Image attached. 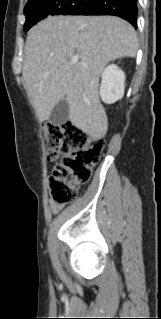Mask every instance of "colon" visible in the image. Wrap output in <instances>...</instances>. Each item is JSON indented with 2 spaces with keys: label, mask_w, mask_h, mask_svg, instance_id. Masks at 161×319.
Wrapping results in <instances>:
<instances>
[{
  "label": "colon",
  "mask_w": 161,
  "mask_h": 319,
  "mask_svg": "<svg viewBox=\"0 0 161 319\" xmlns=\"http://www.w3.org/2000/svg\"><path fill=\"white\" fill-rule=\"evenodd\" d=\"M45 135L48 159L63 155L49 178L53 201L60 208L73 202L80 187L89 181L105 143L70 123H49Z\"/></svg>",
  "instance_id": "colon-1"
}]
</instances>
